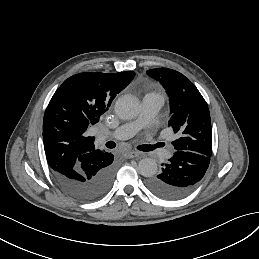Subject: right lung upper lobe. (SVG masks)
Masks as SVG:
<instances>
[{"mask_svg": "<svg viewBox=\"0 0 259 259\" xmlns=\"http://www.w3.org/2000/svg\"><path fill=\"white\" fill-rule=\"evenodd\" d=\"M133 71L86 72L69 77L51 98L43 120V143L53 171L69 174L100 158L87 129L99 121L116 94L133 79Z\"/></svg>", "mask_w": 259, "mask_h": 259, "instance_id": "right-lung-upper-lobe-1", "label": "right lung upper lobe"}]
</instances>
